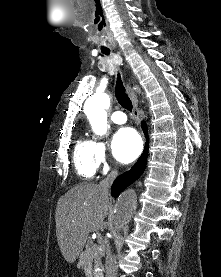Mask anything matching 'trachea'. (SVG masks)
<instances>
[{
	"label": "trachea",
	"mask_w": 221,
	"mask_h": 277,
	"mask_svg": "<svg viewBox=\"0 0 221 277\" xmlns=\"http://www.w3.org/2000/svg\"><path fill=\"white\" fill-rule=\"evenodd\" d=\"M103 54L109 55L110 51H102ZM115 96L117 98L118 103L126 110H132V102L128 97L125 87L123 85L120 74L117 75L116 87H115Z\"/></svg>",
	"instance_id": "trachea-1"
}]
</instances>
